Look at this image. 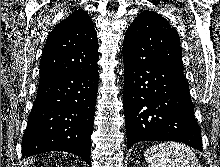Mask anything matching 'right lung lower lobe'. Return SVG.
Listing matches in <instances>:
<instances>
[{
    "instance_id": "right-lung-lower-lobe-1",
    "label": "right lung lower lobe",
    "mask_w": 220,
    "mask_h": 167,
    "mask_svg": "<svg viewBox=\"0 0 220 167\" xmlns=\"http://www.w3.org/2000/svg\"><path fill=\"white\" fill-rule=\"evenodd\" d=\"M98 91V65L39 83L22 139V158L66 151L88 164Z\"/></svg>"
}]
</instances>
